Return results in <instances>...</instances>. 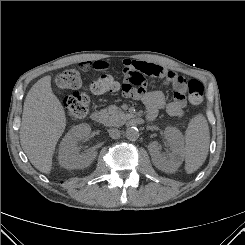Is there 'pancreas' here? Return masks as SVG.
I'll use <instances>...</instances> for the list:
<instances>
[{
  "instance_id": "1",
  "label": "pancreas",
  "mask_w": 245,
  "mask_h": 245,
  "mask_svg": "<svg viewBox=\"0 0 245 245\" xmlns=\"http://www.w3.org/2000/svg\"><path fill=\"white\" fill-rule=\"evenodd\" d=\"M101 114L102 122L106 126H119L126 119V114L115 105L103 109Z\"/></svg>"
}]
</instances>
